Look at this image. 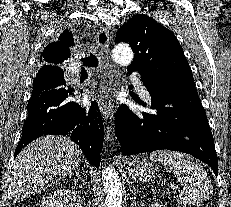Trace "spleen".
I'll return each mask as SVG.
<instances>
[{"instance_id": "obj_1", "label": "spleen", "mask_w": 231, "mask_h": 207, "mask_svg": "<svg viewBox=\"0 0 231 207\" xmlns=\"http://www.w3.org/2000/svg\"><path fill=\"white\" fill-rule=\"evenodd\" d=\"M152 161L160 162L168 172H172L183 190L178 195V203L191 205L203 202L212 193V184L205 170L191 156L170 150L150 153Z\"/></svg>"}]
</instances>
